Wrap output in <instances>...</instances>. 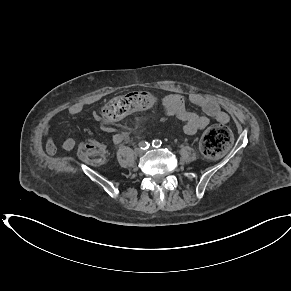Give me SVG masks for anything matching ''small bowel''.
I'll use <instances>...</instances> for the list:
<instances>
[{"label":"small bowel","mask_w":291,"mask_h":291,"mask_svg":"<svg viewBox=\"0 0 291 291\" xmlns=\"http://www.w3.org/2000/svg\"><path fill=\"white\" fill-rule=\"evenodd\" d=\"M98 100L99 97L96 96L83 98L71 104L68 107L67 112L72 117L77 116L81 114L86 107L94 104ZM187 101L199 107L203 114L190 111L187 108ZM159 110L165 115L176 116L180 120L184 121L185 124L183 126V131L187 135H194L198 131L206 128L209 125L211 118L222 124H226L230 121L229 114L222 110L216 101L209 96L198 92H192L188 95L181 92H173L165 95L161 99ZM93 117L95 120L99 119L96 113ZM102 130L106 133L112 134L114 144H120L129 139V134L127 132L118 131L112 126H103ZM44 135L47 137L45 144L46 153L48 155H55L57 148L54 142L53 132L49 130L48 124L44 127ZM75 145L76 142L73 138H66L62 142V149L68 152L73 150Z\"/></svg>","instance_id":"c3829d8e"}]
</instances>
